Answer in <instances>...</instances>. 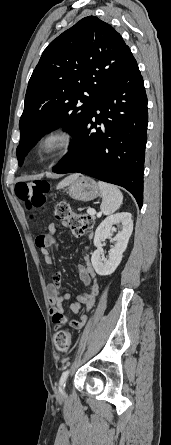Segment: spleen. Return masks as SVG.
Instances as JSON below:
<instances>
[{
    "label": "spleen",
    "mask_w": 171,
    "mask_h": 445,
    "mask_svg": "<svg viewBox=\"0 0 171 445\" xmlns=\"http://www.w3.org/2000/svg\"><path fill=\"white\" fill-rule=\"evenodd\" d=\"M98 186L102 194L101 212L104 215L113 214L122 204V192L116 186L105 182L99 181Z\"/></svg>",
    "instance_id": "spleen-1"
}]
</instances>
